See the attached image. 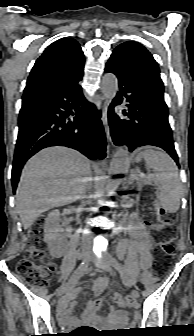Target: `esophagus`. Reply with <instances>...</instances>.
I'll return each mask as SVG.
<instances>
[{"mask_svg": "<svg viewBox=\"0 0 194 336\" xmlns=\"http://www.w3.org/2000/svg\"><path fill=\"white\" fill-rule=\"evenodd\" d=\"M108 108H109V102L106 100L103 106L102 122L104 125L107 139L111 141L110 127L108 124Z\"/></svg>", "mask_w": 194, "mask_h": 336, "instance_id": "1", "label": "esophagus"}]
</instances>
